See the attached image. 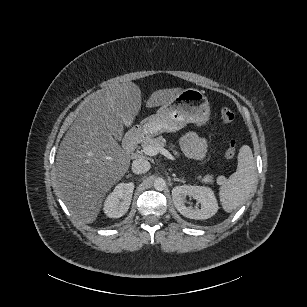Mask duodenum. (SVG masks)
<instances>
[{"instance_id": "obj_1", "label": "duodenum", "mask_w": 307, "mask_h": 307, "mask_svg": "<svg viewBox=\"0 0 307 307\" xmlns=\"http://www.w3.org/2000/svg\"><path fill=\"white\" fill-rule=\"evenodd\" d=\"M145 137V131L140 128H135L128 132L124 139V148L126 152L131 153L135 147L145 139Z\"/></svg>"}]
</instances>
